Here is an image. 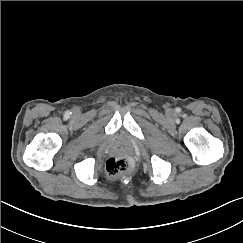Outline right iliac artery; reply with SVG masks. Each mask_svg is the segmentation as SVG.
Returning a JSON list of instances; mask_svg holds the SVG:
<instances>
[{"label":"right iliac artery","mask_w":243,"mask_h":243,"mask_svg":"<svg viewBox=\"0 0 243 243\" xmlns=\"http://www.w3.org/2000/svg\"><path fill=\"white\" fill-rule=\"evenodd\" d=\"M70 114H71L70 111H66V112H65V116H66V117H68Z\"/></svg>","instance_id":"right-iliac-artery-1"}]
</instances>
